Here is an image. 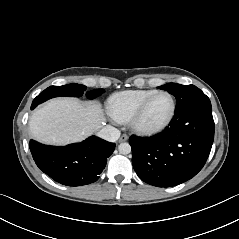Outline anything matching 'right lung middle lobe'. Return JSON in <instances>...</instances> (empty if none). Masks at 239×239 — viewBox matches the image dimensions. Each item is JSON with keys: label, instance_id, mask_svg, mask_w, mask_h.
<instances>
[{"label": "right lung middle lobe", "instance_id": "right-lung-middle-lobe-1", "mask_svg": "<svg viewBox=\"0 0 239 239\" xmlns=\"http://www.w3.org/2000/svg\"><path fill=\"white\" fill-rule=\"evenodd\" d=\"M87 87L80 84H67L64 86H50L41 92L32 102L31 109H34L38 104L59 96H69V97H81L86 92ZM104 93V89L93 90L86 92V96L89 99L96 98L97 96Z\"/></svg>", "mask_w": 239, "mask_h": 239}]
</instances>
